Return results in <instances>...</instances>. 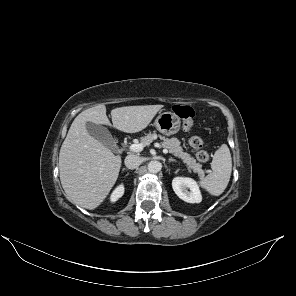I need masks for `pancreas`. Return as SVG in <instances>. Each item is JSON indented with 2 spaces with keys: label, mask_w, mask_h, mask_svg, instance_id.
I'll list each match as a JSON object with an SVG mask.
<instances>
[{
  "label": "pancreas",
  "mask_w": 296,
  "mask_h": 296,
  "mask_svg": "<svg viewBox=\"0 0 296 296\" xmlns=\"http://www.w3.org/2000/svg\"><path fill=\"white\" fill-rule=\"evenodd\" d=\"M157 137L156 134H147L144 138H141V142L146 146L150 144L155 138ZM163 140L161 146L163 148L168 149L170 153L174 156L180 158L186 166L193 170V172L198 173L200 176H203L204 172L202 170V165L197 163L195 158L192 157L190 154L183 151V148L180 146V141L177 138L167 139L164 137H160Z\"/></svg>",
  "instance_id": "obj_1"
}]
</instances>
